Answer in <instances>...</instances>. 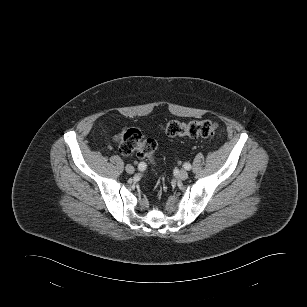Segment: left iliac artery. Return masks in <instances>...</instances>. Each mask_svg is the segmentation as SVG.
<instances>
[{
  "label": "left iliac artery",
  "mask_w": 307,
  "mask_h": 307,
  "mask_svg": "<svg viewBox=\"0 0 307 307\" xmlns=\"http://www.w3.org/2000/svg\"><path fill=\"white\" fill-rule=\"evenodd\" d=\"M184 168H185L186 170H190V169L192 168V166H191L190 163H185V164H184Z\"/></svg>",
  "instance_id": "left-iliac-artery-1"
}]
</instances>
